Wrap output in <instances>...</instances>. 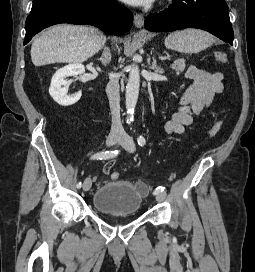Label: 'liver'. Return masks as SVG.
Segmentation results:
<instances>
[{
	"label": "liver",
	"instance_id": "liver-1",
	"mask_svg": "<svg viewBox=\"0 0 255 272\" xmlns=\"http://www.w3.org/2000/svg\"><path fill=\"white\" fill-rule=\"evenodd\" d=\"M106 36L94 27L55 25L34 39L31 60L35 66L53 63H81L96 54Z\"/></svg>",
	"mask_w": 255,
	"mask_h": 272
}]
</instances>
